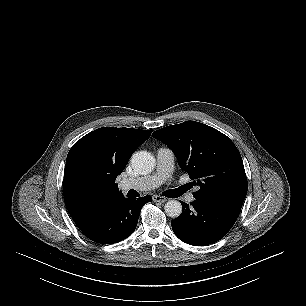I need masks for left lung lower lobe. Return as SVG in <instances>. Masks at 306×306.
<instances>
[{"label":"left lung lower lobe","instance_id":"left-lung-lower-lobe-1","mask_svg":"<svg viewBox=\"0 0 306 306\" xmlns=\"http://www.w3.org/2000/svg\"><path fill=\"white\" fill-rule=\"evenodd\" d=\"M180 202L183 211L171 222L172 229L180 240L194 246L222 239L234 225L242 207L226 201L195 199L191 206Z\"/></svg>","mask_w":306,"mask_h":306}]
</instances>
